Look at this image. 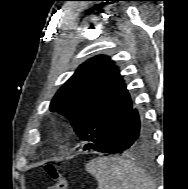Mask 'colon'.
I'll list each match as a JSON object with an SVG mask.
<instances>
[{"instance_id": "obj_1", "label": "colon", "mask_w": 188, "mask_h": 189, "mask_svg": "<svg viewBox=\"0 0 188 189\" xmlns=\"http://www.w3.org/2000/svg\"><path fill=\"white\" fill-rule=\"evenodd\" d=\"M44 170L47 176L53 180L54 184L48 189H67L68 180L66 175L59 170L57 165L53 163H47L44 166Z\"/></svg>"}]
</instances>
